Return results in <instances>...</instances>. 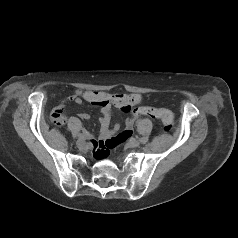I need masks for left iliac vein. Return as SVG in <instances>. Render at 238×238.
<instances>
[{"instance_id":"left-iliac-vein-1","label":"left iliac vein","mask_w":238,"mask_h":238,"mask_svg":"<svg viewBox=\"0 0 238 238\" xmlns=\"http://www.w3.org/2000/svg\"><path fill=\"white\" fill-rule=\"evenodd\" d=\"M128 147L130 148H135L139 146V141L135 138H132L129 140V142L127 143Z\"/></svg>"}]
</instances>
